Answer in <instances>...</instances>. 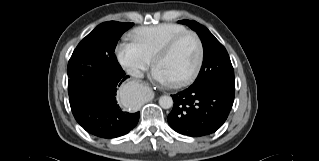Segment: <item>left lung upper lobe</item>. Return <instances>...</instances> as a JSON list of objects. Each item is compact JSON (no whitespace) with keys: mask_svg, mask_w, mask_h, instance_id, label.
Wrapping results in <instances>:
<instances>
[{"mask_svg":"<svg viewBox=\"0 0 319 161\" xmlns=\"http://www.w3.org/2000/svg\"><path fill=\"white\" fill-rule=\"evenodd\" d=\"M178 22L196 31L204 49L203 64L193 85H215L235 91L234 70L225 47L206 27L196 21Z\"/></svg>","mask_w":319,"mask_h":161,"instance_id":"obj_1","label":"left lung upper lobe"}]
</instances>
